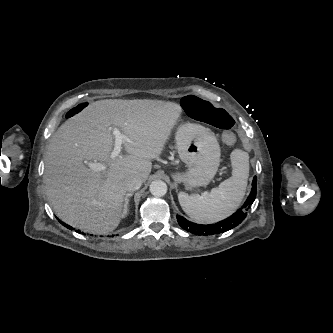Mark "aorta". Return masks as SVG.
I'll return each instance as SVG.
<instances>
[{
  "instance_id": "1",
  "label": "aorta",
  "mask_w": 333,
  "mask_h": 333,
  "mask_svg": "<svg viewBox=\"0 0 333 333\" xmlns=\"http://www.w3.org/2000/svg\"><path fill=\"white\" fill-rule=\"evenodd\" d=\"M150 192L156 197L164 196L167 193V185L162 180H155L150 184Z\"/></svg>"
}]
</instances>
